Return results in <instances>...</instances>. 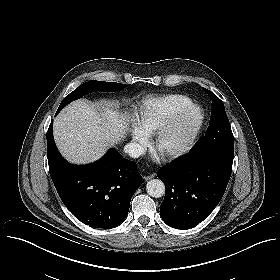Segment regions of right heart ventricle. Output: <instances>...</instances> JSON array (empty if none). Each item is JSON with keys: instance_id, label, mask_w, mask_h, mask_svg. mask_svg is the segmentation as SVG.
I'll list each match as a JSON object with an SVG mask.
<instances>
[{"instance_id": "1", "label": "right heart ventricle", "mask_w": 280, "mask_h": 280, "mask_svg": "<svg viewBox=\"0 0 280 280\" xmlns=\"http://www.w3.org/2000/svg\"><path fill=\"white\" fill-rule=\"evenodd\" d=\"M190 103V99L186 95H170L164 99L163 106H164V112L168 117H170L175 112L185 108ZM151 122L150 126H152L155 129L160 128L163 123H157L154 121H148ZM152 124V125H151Z\"/></svg>"}]
</instances>
